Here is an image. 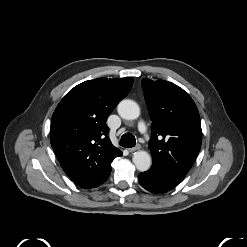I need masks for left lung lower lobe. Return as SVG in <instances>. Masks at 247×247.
I'll return each mask as SVG.
<instances>
[{
  "instance_id": "left-lung-lower-lobe-1",
  "label": "left lung lower lobe",
  "mask_w": 247,
  "mask_h": 247,
  "mask_svg": "<svg viewBox=\"0 0 247 247\" xmlns=\"http://www.w3.org/2000/svg\"><path fill=\"white\" fill-rule=\"evenodd\" d=\"M138 180L143 188L154 193L167 192L180 183L154 168H150L148 171L140 173L138 175Z\"/></svg>"
}]
</instances>
